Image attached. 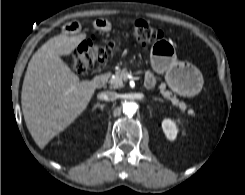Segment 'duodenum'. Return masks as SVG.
<instances>
[{"mask_svg":"<svg viewBox=\"0 0 245 195\" xmlns=\"http://www.w3.org/2000/svg\"><path fill=\"white\" fill-rule=\"evenodd\" d=\"M106 80H107V74H99L92 79L91 84L94 87L99 88L105 84Z\"/></svg>","mask_w":245,"mask_h":195,"instance_id":"410a0bca","label":"duodenum"}]
</instances>
